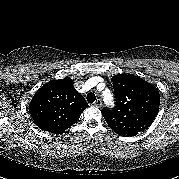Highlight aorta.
<instances>
[{"mask_svg":"<svg viewBox=\"0 0 179 179\" xmlns=\"http://www.w3.org/2000/svg\"><path fill=\"white\" fill-rule=\"evenodd\" d=\"M105 98H106V99H105V100H106L105 102H106L107 104H112L113 98H112V95H111L110 93H108Z\"/></svg>","mask_w":179,"mask_h":179,"instance_id":"aorta-1","label":"aorta"}]
</instances>
